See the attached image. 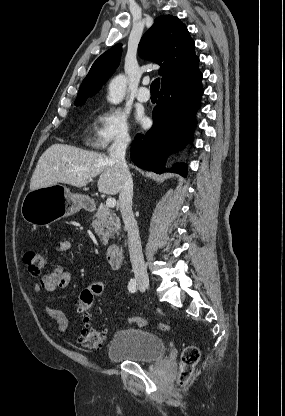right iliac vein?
<instances>
[{"label": "right iliac vein", "mask_w": 285, "mask_h": 416, "mask_svg": "<svg viewBox=\"0 0 285 416\" xmlns=\"http://www.w3.org/2000/svg\"><path fill=\"white\" fill-rule=\"evenodd\" d=\"M138 283L144 289H148L149 288V282L146 279H138Z\"/></svg>", "instance_id": "63e3f726"}]
</instances>
